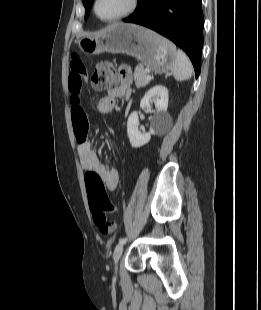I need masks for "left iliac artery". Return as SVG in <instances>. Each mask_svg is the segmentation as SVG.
Here are the masks:
<instances>
[{
	"instance_id": "left-iliac-artery-1",
	"label": "left iliac artery",
	"mask_w": 261,
	"mask_h": 310,
	"mask_svg": "<svg viewBox=\"0 0 261 310\" xmlns=\"http://www.w3.org/2000/svg\"><path fill=\"white\" fill-rule=\"evenodd\" d=\"M127 241V238H121L120 240H119V244H123V243H125Z\"/></svg>"
}]
</instances>
